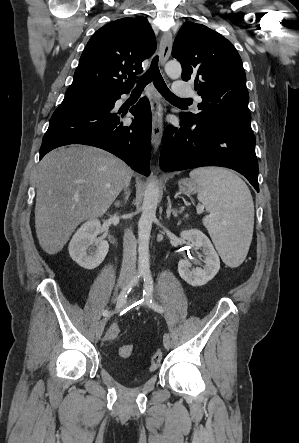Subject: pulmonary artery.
Here are the masks:
<instances>
[{
  "label": "pulmonary artery",
  "mask_w": 299,
  "mask_h": 443,
  "mask_svg": "<svg viewBox=\"0 0 299 443\" xmlns=\"http://www.w3.org/2000/svg\"><path fill=\"white\" fill-rule=\"evenodd\" d=\"M174 93L179 96V97H193L195 96V92L192 89L191 86L180 82V81H176L174 83V87H173ZM196 100H199V97H195Z\"/></svg>",
  "instance_id": "1"
}]
</instances>
